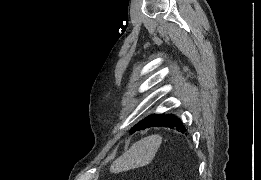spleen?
<instances>
[{"mask_svg":"<svg viewBox=\"0 0 261 180\" xmlns=\"http://www.w3.org/2000/svg\"><path fill=\"white\" fill-rule=\"evenodd\" d=\"M161 144L162 138L159 134H152V136L142 138L139 142H135L122 156H119L117 160H114L110 166V172L120 174V172H128V170H134V168L148 166Z\"/></svg>","mask_w":261,"mask_h":180,"instance_id":"obj_1","label":"spleen"}]
</instances>
